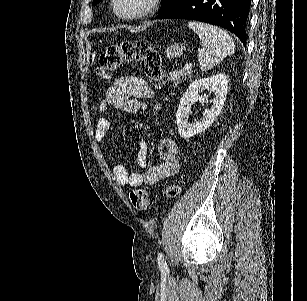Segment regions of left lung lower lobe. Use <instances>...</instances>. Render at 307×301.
Wrapping results in <instances>:
<instances>
[{"instance_id": "left-lung-lower-lobe-1", "label": "left lung lower lobe", "mask_w": 307, "mask_h": 301, "mask_svg": "<svg viewBox=\"0 0 307 301\" xmlns=\"http://www.w3.org/2000/svg\"><path fill=\"white\" fill-rule=\"evenodd\" d=\"M251 0H179L158 19H190L223 27L246 46Z\"/></svg>"}]
</instances>
